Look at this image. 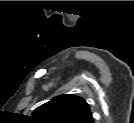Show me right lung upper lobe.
Instances as JSON below:
<instances>
[{
	"mask_svg": "<svg viewBox=\"0 0 134 123\" xmlns=\"http://www.w3.org/2000/svg\"><path fill=\"white\" fill-rule=\"evenodd\" d=\"M35 123H93L86 101L76 95H60L38 107L30 116Z\"/></svg>",
	"mask_w": 134,
	"mask_h": 123,
	"instance_id": "obj_1",
	"label": "right lung upper lobe"
}]
</instances>
